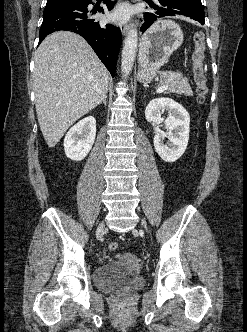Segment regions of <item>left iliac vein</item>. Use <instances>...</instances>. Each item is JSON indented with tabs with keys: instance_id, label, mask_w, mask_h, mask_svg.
<instances>
[{
	"instance_id": "4c4485c4",
	"label": "left iliac vein",
	"mask_w": 247,
	"mask_h": 332,
	"mask_svg": "<svg viewBox=\"0 0 247 332\" xmlns=\"http://www.w3.org/2000/svg\"><path fill=\"white\" fill-rule=\"evenodd\" d=\"M142 225L144 226V228L147 230V224L146 221L144 219L141 220Z\"/></svg>"
}]
</instances>
